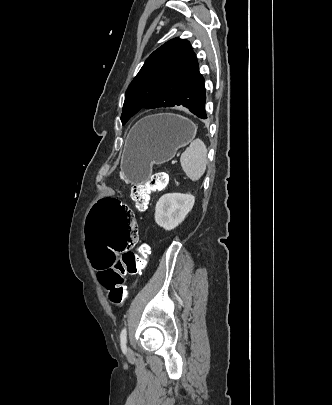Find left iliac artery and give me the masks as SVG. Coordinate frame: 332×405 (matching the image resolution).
Here are the masks:
<instances>
[{"label":"left iliac artery","instance_id":"obj_1","mask_svg":"<svg viewBox=\"0 0 332 405\" xmlns=\"http://www.w3.org/2000/svg\"><path fill=\"white\" fill-rule=\"evenodd\" d=\"M120 342H121V346L122 348L126 347V343H127V329L126 327H124L120 333Z\"/></svg>","mask_w":332,"mask_h":405}]
</instances>
